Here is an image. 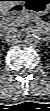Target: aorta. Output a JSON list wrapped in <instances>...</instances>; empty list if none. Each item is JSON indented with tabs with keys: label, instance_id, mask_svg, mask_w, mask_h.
<instances>
[{
	"label": "aorta",
	"instance_id": "762f6f07",
	"mask_svg": "<svg viewBox=\"0 0 50 111\" xmlns=\"http://www.w3.org/2000/svg\"><path fill=\"white\" fill-rule=\"evenodd\" d=\"M24 42L28 45H36L39 42V37L35 34H27L24 38Z\"/></svg>",
	"mask_w": 50,
	"mask_h": 111
}]
</instances>
